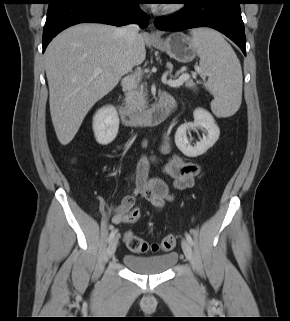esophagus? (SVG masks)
<instances>
[{"instance_id": "34e87169", "label": "esophagus", "mask_w": 290, "mask_h": 321, "mask_svg": "<svg viewBox=\"0 0 290 321\" xmlns=\"http://www.w3.org/2000/svg\"><path fill=\"white\" fill-rule=\"evenodd\" d=\"M160 36V34L157 31L151 30L150 33H148L146 35L147 38L154 40V39H158Z\"/></svg>"}]
</instances>
